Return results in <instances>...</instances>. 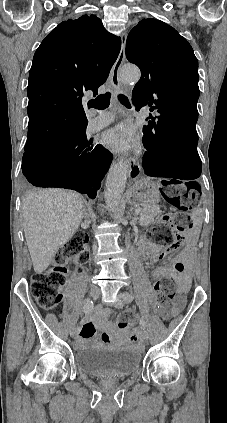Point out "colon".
<instances>
[{
    "instance_id": "1",
    "label": "colon",
    "mask_w": 227,
    "mask_h": 423,
    "mask_svg": "<svg viewBox=\"0 0 227 423\" xmlns=\"http://www.w3.org/2000/svg\"><path fill=\"white\" fill-rule=\"evenodd\" d=\"M161 193L177 211L165 214L161 222L150 231V237L153 242L166 246L169 250H176L180 246L176 235L187 226L188 211L199 202V186L195 182L184 185L166 182L162 185ZM87 241L88 237L85 233L77 232L57 251L51 267L33 277L30 292L39 306L49 310L61 302L68 274L67 264L73 257H77L80 263L85 262ZM154 289L160 307L169 306L176 295V287L172 278L157 281ZM117 325L125 331L133 328V322L128 315L121 316Z\"/></svg>"
}]
</instances>
